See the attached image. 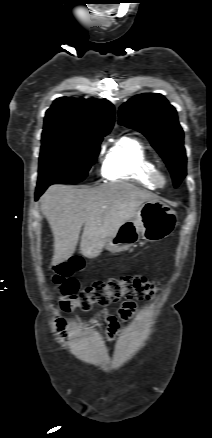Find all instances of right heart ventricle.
Instances as JSON below:
<instances>
[{
    "label": "right heart ventricle",
    "mask_w": 212,
    "mask_h": 438,
    "mask_svg": "<svg viewBox=\"0 0 212 438\" xmlns=\"http://www.w3.org/2000/svg\"><path fill=\"white\" fill-rule=\"evenodd\" d=\"M153 167L155 163L145 145L139 139L123 137L108 149L102 173L112 181L128 180L154 190L156 186L149 178V171Z\"/></svg>",
    "instance_id": "right-heart-ventricle-1"
}]
</instances>
